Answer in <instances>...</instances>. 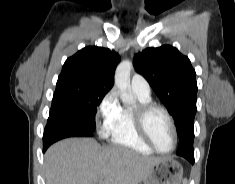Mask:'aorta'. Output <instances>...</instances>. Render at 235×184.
<instances>
[{"label":"aorta","mask_w":235,"mask_h":184,"mask_svg":"<svg viewBox=\"0 0 235 184\" xmlns=\"http://www.w3.org/2000/svg\"><path fill=\"white\" fill-rule=\"evenodd\" d=\"M131 62H121L115 72V86L120 92V100L123 104H135L130 86Z\"/></svg>","instance_id":"obj_1"}]
</instances>
